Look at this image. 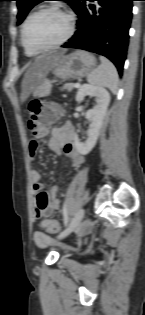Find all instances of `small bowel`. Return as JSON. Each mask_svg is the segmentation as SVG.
Masks as SVG:
<instances>
[{"mask_svg": "<svg viewBox=\"0 0 145 315\" xmlns=\"http://www.w3.org/2000/svg\"><path fill=\"white\" fill-rule=\"evenodd\" d=\"M48 132L46 128H39L35 131L34 137L28 138L27 147H30L31 156L35 155L36 147H40L41 145L39 138L46 136ZM49 147L55 153L67 156L72 166H82L84 157L75 146L74 131L71 123H65L61 127L53 128L50 131ZM31 180L32 190L37 194L36 206L34 208L35 218L43 219L51 216L61 207V201L58 198L59 187L53 185L48 194L42 191L43 185L40 181V173L35 169L31 171ZM33 238L35 243L41 247H46L53 242V239L43 231H36Z\"/></svg>", "mask_w": 145, "mask_h": 315, "instance_id": "1", "label": "small bowel"}]
</instances>
